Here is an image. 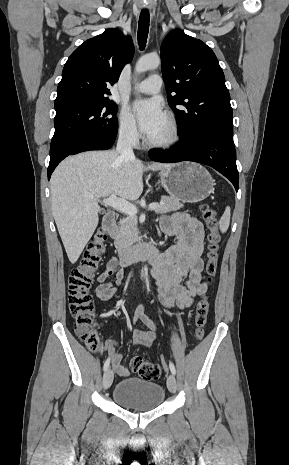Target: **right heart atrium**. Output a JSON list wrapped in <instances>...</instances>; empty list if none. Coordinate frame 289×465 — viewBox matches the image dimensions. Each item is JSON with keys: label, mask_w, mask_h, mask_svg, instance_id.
Wrapping results in <instances>:
<instances>
[{"label": "right heart atrium", "mask_w": 289, "mask_h": 465, "mask_svg": "<svg viewBox=\"0 0 289 465\" xmlns=\"http://www.w3.org/2000/svg\"><path fill=\"white\" fill-rule=\"evenodd\" d=\"M118 135L129 143L134 144L139 140V130L132 114L126 109H122L118 118Z\"/></svg>", "instance_id": "right-heart-atrium-1"}]
</instances>
